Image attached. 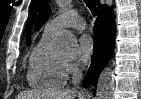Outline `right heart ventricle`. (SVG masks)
<instances>
[{
	"label": "right heart ventricle",
	"instance_id": "right-heart-ventricle-1",
	"mask_svg": "<svg viewBox=\"0 0 141 99\" xmlns=\"http://www.w3.org/2000/svg\"><path fill=\"white\" fill-rule=\"evenodd\" d=\"M53 37L54 34L44 30L30 55L26 78L34 89L55 90L66 83V62L52 52Z\"/></svg>",
	"mask_w": 141,
	"mask_h": 99
}]
</instances>
